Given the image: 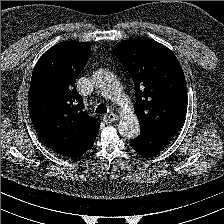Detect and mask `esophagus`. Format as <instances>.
<instances>
[{
  "label": "esophagus",
  "instance_id": "obj_1",
  "mask_svg": "<svg viewBox=\"0 0 224 224\" xmlns=\"http://www.w3.org/2000/svg\"><path fill=\"white\" fill-rule=\"evenodd\" d=\"M118 119V116L114 113L107 114L103 117V121L106 123H111Z\"/></svg>",
  "mask_w": 224,
  "mask_h": 224
}]
</instances>
